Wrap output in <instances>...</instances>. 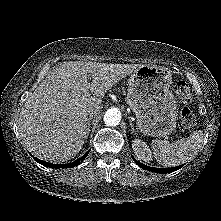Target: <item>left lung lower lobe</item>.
<instances>
[{
    "label": "left lung lower lobe",
    "instance_id": "0a47b994",
    "mask_svg": "<svg viewBox=\"0 0 221 221\" xmlns=\"http://www.w3.org/2000/svg\"><path fill=\"white\" fill-rule=\"evenodd\" d=\"M134 161L141 168H143L145 170L152 171V172H157V173H171V172H174V171H176V170H178L182 167V165H180V166H176V167H173V168H153V167H149V166H146L144 164H141L139 161H136L135 159H134Z\"/></svg>",
    "mask_w": 221,
    "mask_h": 221
}]
</instances>
